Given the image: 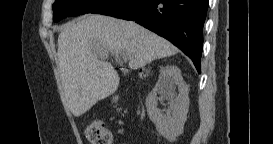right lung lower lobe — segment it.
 Here are the masks:
<instances>
[{
	"mask_svg": "<svg viewBox=\"0 0 273 144\" xmlns=\"http://www.w3.org/2000/svg\"><path fill=\"white\" fill-rule=\"evenodd\" d=\"M209 0H109L91 13L134 21L183 51L200 73Z\"/></svg>",
	"mask_w": 273,
	"mask_h": 144,
	"instance_id": "obj_1",
	"label": "right lung lower lobe"
}]
</instances>
